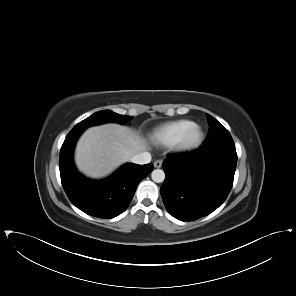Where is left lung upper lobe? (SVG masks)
<instances>
[{
	"instance_id": "obj_1",
	"label": "left lung upper lobe",
	"mask_w": 296,
	"mask_h": 296,
	"mask_svg": "<svg viewBox=\"0 0 296 296\" xmlns=\"http://www.w3.org/2000/svg\"><path fill=\"white\" fill-rule=\"evenodd\" d=\"M206 117L210 130L202 146L203 151L212 153L222 149H235L234 141L228 130L209 114H206Z\"/></svg>"
}]
</instances>
